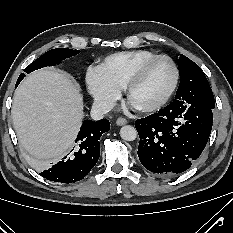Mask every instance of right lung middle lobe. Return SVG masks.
I'll list each match as a JSON object with an SVG mask.
<instances>
[{"mask_svg": "<svg viewBox=\"0 0 233 233\" xmlns=\"http://www.w3.org/2000/svg\"><path fill=\"white\" fill-rule=\"evenodd\" d=\"M79 52H80L79 50H72L67 48H57V49L49 50L41 57L33 61L30 65H28L24 69V72L30 73L42 67L57 65L66 58L77 55ZM24 77H25L24 73L20 74L19 76V78L21 79H23Z\"/></svg>", "mask_w": 233, "mask_h": 233, "instance_id": "right-lung-middle-lobe-1", "label": "right lung middle lobe"}]
</instances>
